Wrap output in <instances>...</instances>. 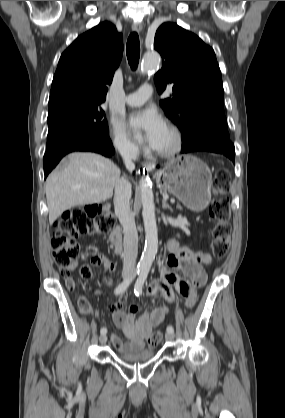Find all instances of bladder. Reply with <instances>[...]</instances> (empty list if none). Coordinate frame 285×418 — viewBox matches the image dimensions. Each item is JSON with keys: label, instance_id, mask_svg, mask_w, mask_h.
Wrapping results in <instances>:
<instances>
[{"label": "bladder", "instance_id": "31cf9c89", "mask_svg": "<svg viewBox=\"0 0 285 418\" xmlns=\"http://www.w3.org/2000/svg\"><path fill=\"white\" fill-rule=\"evenodd\" d=\"M114 353L118 358L125 362H145L154 357V352L152 350H129L125 352L117 350Z\"/></svg>", "mask_w": 285, "mask_h": 418}]
</instances>
